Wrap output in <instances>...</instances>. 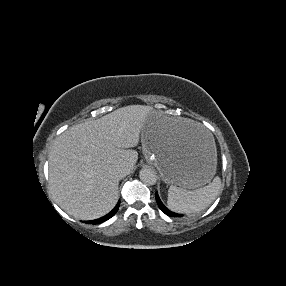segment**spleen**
Masks as SVG:
<instances>
[{"label":"spleen","instance_id":"obj_1","mask_svg":"<svg viewBox=\"0 0 286 286\" xmlns=\"http://www.w3.org/2000/svg\"><path fill=\"white\" fill-rule=\"evenodd\" d=\"M220 190L221 179L218 176L209 185L193 191L171 185L168 189L167 206L175 212H197L211 204Z\"/></svg>","mask_w":286,"mask_h":286}]
</instances>
